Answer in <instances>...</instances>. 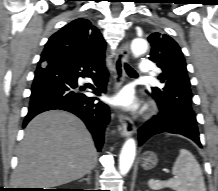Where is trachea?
Masks as SVG:
<instances>
[{
  "label": "trachea",
  "instance_id": "3493384b",
  "mask_svg": "<svg viewBox=\"0 0 218 191\" xmlns=\"http://www.w3.org/2000/svg\"><path fill=\"white\" fill-rule=\"evenodd\" d=\"M124 68L129 75L134 76V77L137 76L136 71L132 67H130L128 64L125 63Z\"/></svg>",
  "mask_w": 218,
  "mask_h": 191
}]
</instances>
